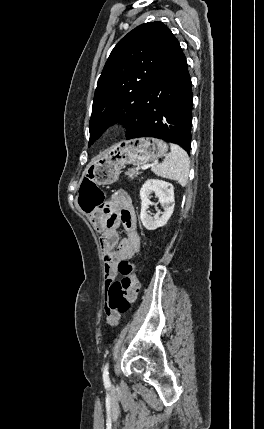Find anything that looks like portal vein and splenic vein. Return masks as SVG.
<instances>
[{
    "label": "portal vein and splenic vein",
    "instance_id": "18ae733b",
    "mask_svg": "<svg viewBox=\"0 0 264 429\" xmlns=\"http://www.w3.org/2000/svg\"><path fill=\"white\" fill-rule=\"evenodd\" d=\"M151 166V164H145L141 167L142 170H146Z\"/></svg>",
    "mask_w": 264,
    "mask_h": 429
}]
</instances>
